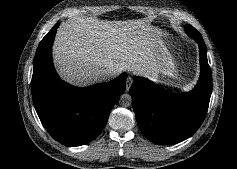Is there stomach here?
Wrapping results in <instances>:
<instances>
[{
  "label": "stomach",
  "instance_id": "0dacf381",
  "mask_svg": "<svg viewBox=\"0 0 237 169\" xmlns=\"http://www.w3.org/2000/svg\"><path fill=\"white\" fill-rule=\"evenodd\" d=\"M156 61L157 63L164 67H168L172 65V55L169 46L164 41V39L161 37V43L156 51Z\"/></svg>",
  "mask_w": 237,
  "mask_h": 169
}]
</instances>
